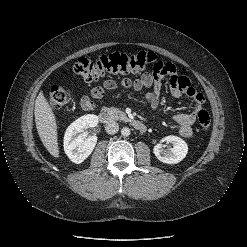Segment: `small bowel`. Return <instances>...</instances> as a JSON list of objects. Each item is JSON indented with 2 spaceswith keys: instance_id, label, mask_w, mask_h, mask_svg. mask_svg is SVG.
<instances>
[{
  "instance_id": "c3829d8e",
  "label": "small bowel",
  "mask_w": 247,
  "mask_h": 247,
  "mask_svg": "<svg viewBox=\"0 0 247 247\" xmlns=\"http://www.w3.org/2000/svg\"><path fill=\"white\" fill-rule=\"evenodd\" d=\"M169 76V85L171 94L175 97L187 96L194 102V108L188 113H177L173 119L179 124V133L185 138H189L193 134V124L196 120L197 114L202 110L204 104V96L198 92L190 83L186 76L179 75L176 68L169 63V68L166 72L157 75L151 73H143L139 78L122 79L120 86L123 88H132L135 91H141L145 88L150 89L144 97L145 106L156 109L159 104V98L162 89V76ZM118 84L113 80H107L104 83V88L107 90H115ZM104 95L102 87H95L91 91V96H84L81 99V106L85 110H92L95 108L96 101L101 99Z\"/></svg>"
}]
</instances>
